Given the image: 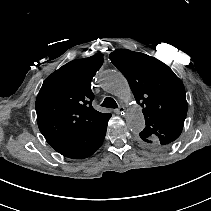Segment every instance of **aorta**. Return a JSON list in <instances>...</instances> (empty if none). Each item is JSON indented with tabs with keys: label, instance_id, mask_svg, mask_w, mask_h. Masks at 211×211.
<instances>
[{
	"label": "aorta",
	"instance_id": "762f6f07",
	"mask_svg": "<svg viewBox=\"0 0 211 211\" xmlns=\"http://www.w3.org/2000/svg\"><path fill=\"white\" fill-rule=\"evenodd\" d=\"M101 87L106 92L117 96L118 98L127 101L132 93L126 78L116 71H105L100 77ZM126 123L128 128L134 133L143 130L145 119L141 108L137 104L129 106L126 113Z\"/></svg>",
	"mask_w": 211,
	"mask_h": 211
}]
</instances>
